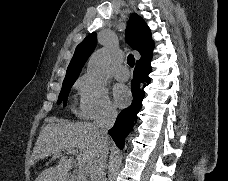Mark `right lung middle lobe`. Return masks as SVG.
Masks as SVG:
<instances>
[{"instance_id": "1", "label": "right lung middle lobe", "mask_w": 228, "mask_h": 181, "mask_svg": "<svg viewBox=\"0 0 228 181\" xmlns=\"http://www.w3.org/2000/svg\"><path fill=\"white\" fill-rule=\"evenodd\" d=\"M75 81L76 80L63 82L62 89H61V92H60L59 98H58V104L61 103L63 100L64 101L63 105L64 106L66 105V99H67L70 89Z\"/></svg>"}]
</instances>
